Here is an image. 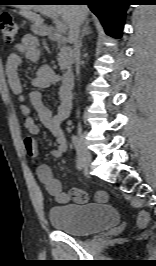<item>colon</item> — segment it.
I'll use <instances>...</instances> for the list:
<instances>
[{"label":"colon","mask_w":156,"mask_h":266,"mask_svg":"<svg viewBox=\"0 0 156 266\" xmlns=\"http://www.w3.org/2000/svg\"><path fill=\"white\" fill-rule=\"evenodd\" d=\"M0 32L5 43L11 44L18 32V27L11 15L5 13L0 18ZM148 217L145 213H141L138 217V225L143 227L147 224Z\"/></svg>","instance_id":"colon-1"}]
</instances>
